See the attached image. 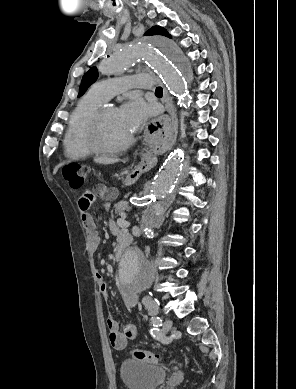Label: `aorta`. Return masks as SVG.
<instances>
[{
  "label": "aorta",
  "mask_w": 296,
  "mask_h": 389,
  "mask_svg": "<svg viewBox=\"0 0 296 389\" xmlns=\"http://www.w3.org/2000/svg\"><path fill=\"white\" fill-rule=\"evenodd\" d=\"M135 62L152 66L169 91L177 96L180 106L189 105L187 80L190 68L174 42L160 37L127 44L106 58L99 71L104 75H121ZM183 163L184 153L178 149L168 157L157 173L146 199V231H151L161 221L171 204ZM154 276L153 264L139 247L133 246L125 251L120 261V281L125 289L134 293L146 290L151 287Z\"/></svg>",
  "instance_id": "aorta-1"
}]
</instances>
